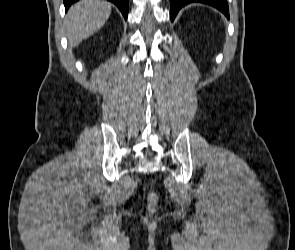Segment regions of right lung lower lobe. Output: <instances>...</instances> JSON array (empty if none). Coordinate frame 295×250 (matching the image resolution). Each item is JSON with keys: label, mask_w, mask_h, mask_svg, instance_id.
Here are the masks:
<instances>
[{"label": "right lung lower lobe", "mask_w": 295, "mask_h": 250, "mask_svg": "<svg viewBox=\"0 0 295 250\" xmlns=\"http://www.w3.org/2000/svg\"><path fill=\"white\" fill-rule=\"evenodd\" d=\"M77 1H79V0H63L66 11L71 6V4H73L74 2H77ZM108 1L116 4L117 7L122 12L124 18L127 19L129 0H108Z\"/></svg>", "instance_id": "1"}]
</instances>
